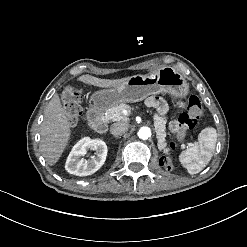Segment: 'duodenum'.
Wrapping results in <instances>:
<instances>
[{
    "mask_svg": "<svg viewBox=\"0 0 247 247\" xmlns=\"http://www.w3.org/2000/svg\"><path fill=\"white\" fill-rule=\"evenodd\" d=\"M87 123L89 128L98 133H105L108 129L106 120L102 116L101 109L96 106H90L88 108Z\"/></svg>",
    "mask_w": 247,
    "mask_h": 247,
    "instance_id": "duodenum-1",
    "label": "duodenum"
}]
</instances>
